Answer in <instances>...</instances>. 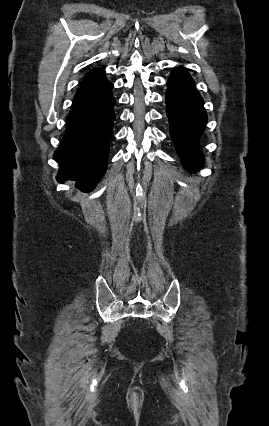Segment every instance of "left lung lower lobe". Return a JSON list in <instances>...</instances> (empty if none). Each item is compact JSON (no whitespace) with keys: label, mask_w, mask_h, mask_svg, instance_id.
Returning <instances> with one entry per match:
<instances>
[{"label":"left lung lower lobe","mask_w":269,"mask_h":426,"mask_svg":"<svg viewBox=\"0 0 269 426\" xmlns=\"http://www.w3.org/2000/svg\"><path fill=\"white\" fill-rule=\"evenodd\" d=\"M167 87L165 101L170 135L184 166L190 170L199 169L202 157L198 140L207 122L203 99L183 67L173 69Z\"/></svg>","instance_id":"obj_1"}]
</instances>
